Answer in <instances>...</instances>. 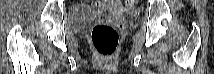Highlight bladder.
<instances>
[{
  "mask_svg": "<svg viewBox=\"0 0 214 74\" xmlns=\"http://www.w3.org/2000/svg\"><path fill=\"white\" fill-rule=\"evenodd\" d=\"M110 13L109 10H91L85 7L72 8L68 15V20L71 26H81L89 23L98 18L107 16Z\"/></svg>",
  "mask_w": 214,
  "mask_h": 74,
  "instance_id": "31cf9c89",
  "label": "bladder"
}]
</instances>
